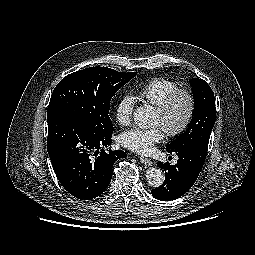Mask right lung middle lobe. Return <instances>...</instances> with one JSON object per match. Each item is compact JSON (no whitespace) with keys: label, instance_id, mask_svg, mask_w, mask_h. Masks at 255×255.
Instances as JSON below:
<instances>
[{"label":"right lung middle lobe","instance_id":"dd1d6c3e","mask_svg":"<svg viewBox=\"0 0 255 255\" xmlns=\"http://www.w3.org/2000/svg\"><path fill=\"white\" fill-rule=\"evenodd\" d=\"M136 74L89 67L65 76L51 95L47 121L67 116L97 135H111L110 100Z\"/></svg>","mask_w":255,"mask_h":255}]
</instances>
